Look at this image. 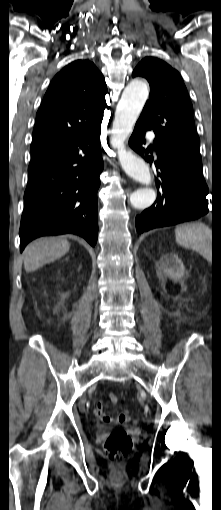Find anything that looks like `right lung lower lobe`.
I'll list each match as a JSON object with an SVG mask.
<instances>
[{
	"label": "right lung lower lobe",
	"mask_w": 221,
	"mask_h": 510,
	"mask_svg": "<svg viewBox=\"0 0 221 510\" xmlns=\"http://www.w3.org/2000/svg\"><path fill=\"white\" fill-rule=\"evenodd\" d=\"M101 123L66 143L33 154L28 167L20 251L35 238L76 234L95 246L97 191L103 170Z\"/></svg>",
	"instance_id": "right-lung-lower-lobe-1"
}]
</instances>
